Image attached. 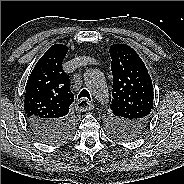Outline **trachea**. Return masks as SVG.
I'll return each mask as SVG.
<instances>
[{
  "label": "trachea",
  "instance_id": "obj_1",
  "mask_svg": "<svg viewBox=\"0 0 184 184\" xmlns=\"http://www.w3.org/2000/svg\"><path fill=\"white\" fill-rule=\"evenodd\" d=\"M81 98H87L91 100L89 92L85 89H83L78 95V99H81Z\"/></svg>",
  "mask_w": 184,
  "mask_h": 184
}]
</instances>
